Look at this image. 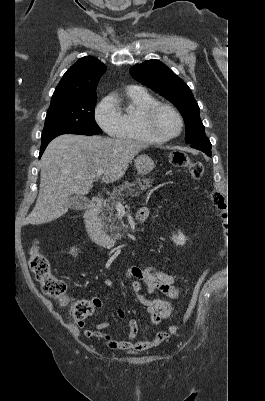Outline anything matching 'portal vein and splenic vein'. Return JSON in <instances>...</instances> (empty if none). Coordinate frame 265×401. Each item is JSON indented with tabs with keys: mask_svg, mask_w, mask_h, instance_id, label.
I'll list each match as a JSON object with an SVG mask.
<instances>
[{
	"mask_svg": "<svg viewBox=\"0 0 265 401\" xmlns=\"http://www.w3.org/2000/svg\"><path fill=\"white\" fill-rule=\"evenodd\" d=\"M104 170L103 168H100V170H97V174L96 176H101V174H103ZM117 209H124L123 205H121V203H117L116 205Z\"/></svg>",
	"mask_w": 265,
	"mask_h": 401,
	"instance_id": "1",
	"label": "portal vein and splenic vein"
}]
</instances>
